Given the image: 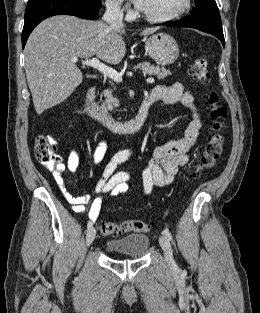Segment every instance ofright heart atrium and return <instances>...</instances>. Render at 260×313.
Returning <instances> with one entry per match:
<instances>
[{
	"label": "right heart atrium",
	"mask_w": 260,
	"mask_h": 313,
	"mask_svg": "<svg viewBox=\"0 0 260 313\" xmlns=\"http://www.w3.org/2000/svg\"><path fill=\"white\" fill-rule=\"evenodd\" d=\"M106 7L113 15H122L128 9L125 0H106Z\"/></svg>",
	"instance_id": "right-heart-atrium-1"
}]
</instances>
